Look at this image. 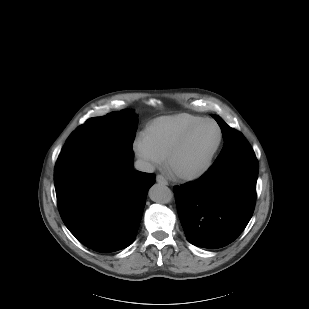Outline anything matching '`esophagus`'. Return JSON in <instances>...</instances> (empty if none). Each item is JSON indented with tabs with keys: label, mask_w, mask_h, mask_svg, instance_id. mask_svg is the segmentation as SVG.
Returning <instances> with one entry per match:
<instances>
[{
	"label": "esophagus",
	"mask_w": 309,
	"mask_h": 309,
	"mask_svg": "<svg viewBox=\"0 0 309 309\" xmlns=\"http://www.w3.org/2000/svg\"><path fill=\"white\" fill-rule=\"evenodd\" d=\"M156 182L163 184V185H168V181L162 175L156 176Z\"/></svg>",
	"instance_id": "obj_1"
}]
</instances>
